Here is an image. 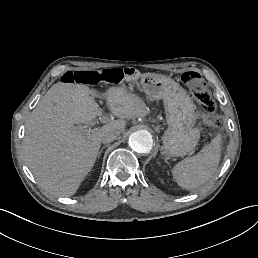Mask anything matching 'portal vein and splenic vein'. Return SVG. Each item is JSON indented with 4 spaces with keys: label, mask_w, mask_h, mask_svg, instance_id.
Here are the masks:
<instances>
[{
    "label": "portal vein and splenic vein",
    "mask_w": 258,
    "mask_h": 258,
    "mask_svg": "<svg viewBox=\"0 0 258 258\" xmlns=\"http://www.w3.org/2000/svg\"><path fill=\"white\" fill-rule=\"evenodd\" d=\"M86 126H77L76 128L80 131H83V129L85 128ZM94 130H97V129H94Z\"/></svg>",
    "instance_id": "18ae733b"
}]
</instances>
